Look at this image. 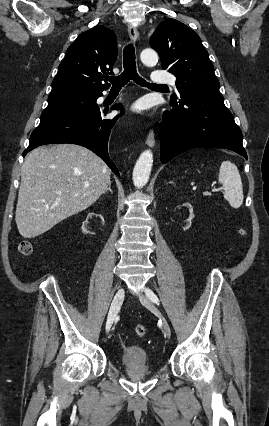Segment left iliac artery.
I'll return each mask as SVG.
<instances>
[{
    "label": "left iliac artery",
    "mask_w": 269,
    "mask_h": 426,
    "mask_svg": "<svg viewBox=\"0 0 269 426\" xmlns=\"http://www.w3.org/2000/svg\"><path fill=\"white\" fill-rule=\"evenodd\" d=\"M146 295L147 297L154 303L159 304V300L157 298V296L149 289L146 290Z\"/></svg>",
    "instance_id": "1"
}]
</instances>
